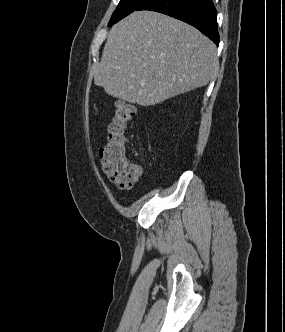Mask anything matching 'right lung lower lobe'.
Returning a JSON list of instances; mask_svg holds the SVG:
<instances>
[{"label":"right lung lower lobe","instance_id":"obj_1","mask_svg":"<svg viewBox=\"0 0 285 332\" xmlns=\"http://www.w3.org/2000/svg\"><path fill=\"white\" fill-rule=\"evenodd\" d=\"M136 10H152L182 20L219 45L216 9L211 0H147Z\"/></svg>","mask_w":285,"mask_h":332}]
</instances>
